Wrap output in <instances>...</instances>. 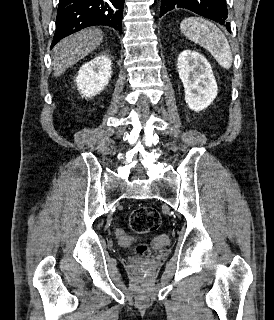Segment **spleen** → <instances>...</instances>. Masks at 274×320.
<instances>
[{
  "label": "spleen",
  "mask_w": 274,
  "mask_h": 320,
  "mask_svg": "<svg viewBox=\"0 0 274 320\" xmlns=\"http://www.w3.org/2000/svg\"><path fill=\"white\" fill-rule=\"evenodd\" d=\"M181 30L184 36L208 50L222 68H231L232 54L229 42L215 24L203 18H185L181 22Z\"/></svg>",
  "instance_id": "obj_1"
}]
</instances>
